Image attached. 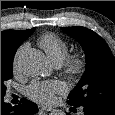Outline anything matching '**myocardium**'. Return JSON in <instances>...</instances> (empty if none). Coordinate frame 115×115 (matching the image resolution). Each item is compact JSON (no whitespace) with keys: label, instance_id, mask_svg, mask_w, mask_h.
<instances>
[{"label":"myocardium","instance_id":"f54148a6","mask_svg":"<svg viewBox=\"0 0 115 115\" xmlns=\"http://www.w3.org/2000/svg\"><path fill=\"white\" fill-rule=\"evenodd\" d=\"M63 73L70 79L79 77L85 70L86 61L79 52L68 54L61 64Z\"/></svg>","mask_w":115,"mask_h":115}]
</instances>
